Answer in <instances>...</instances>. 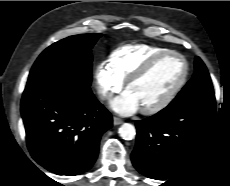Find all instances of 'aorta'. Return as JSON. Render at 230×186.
Instances as JSON below:
<instances>
[{"label":"aorta","instance_id":"762f6f07","mask_svg":"<svg viewBox=\"0 0 230 186\" xmlns=\"http://www.w3.org/2000/svg\"><path fill=\"white\" fill-rule=\"evenodd\" d=\"M119 134L124 140H132L135 138L136 129L132 124L124 123L119 128Z\"/></svg>","mask_w":230,"mask_h":186}]
</instances>
